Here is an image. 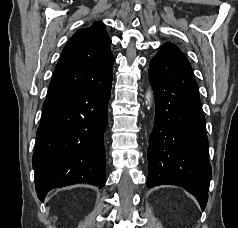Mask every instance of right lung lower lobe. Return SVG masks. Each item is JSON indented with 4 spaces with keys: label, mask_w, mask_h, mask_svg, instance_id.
I'll use <instances>...</instances> for the list:
<instances>
[{
    "label": "right lung lower lobe",
    "mask_w": 238,
    "mask_h": 228,
    "mask_svg": "<svg viewBox=\"0 0 238 228\" xmlns=\"http://www.w3.org/2000/svg\"><path fill=\"white\" fill-rule=\"evenodd\" d=\"M112 77L113 71L97 84L45 99L32 159L41 201L54 188L105 185L103 135Z\"/></svg>",
    "instance_id": "1"
}]
</instances>
